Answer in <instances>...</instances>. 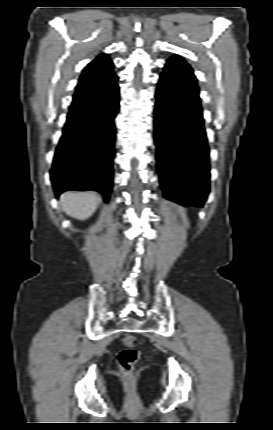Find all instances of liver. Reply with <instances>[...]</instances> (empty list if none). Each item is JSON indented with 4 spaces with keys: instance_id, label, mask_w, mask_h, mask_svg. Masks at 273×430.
I'll return each instance as SVG.
<instances>
[{
    "instance_id": "1",
    "label": "liver",
    "mask_w": 273,
    "mask_h": 430,
    "mask_svg": "<svg viewBox=\"0 0 273 430\" xmlns=\"http://www.w3.org/2000/svg\"><path fill=\"white\" fill-rule=\"evenodd\" d=\"M98 199L92 192H65L60 197V203L66 214L85 220L95 212Z\"/></svg>"
}]
</instances>
